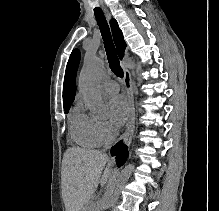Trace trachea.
<instances>
[{
    "mask_svg": "<svg viewBox=\"0 0 219 211\" xmlns=\"http://www.w3.org/2000/svg\"><path fill=\"white\" fill-rule=\"evenodd\" d=\"M94 13L102 35V39L104 41V46H105V51H106L109 66L116 76L123 78L124 73L119 63L115 45L113 43L111 32L107 20L105 18V15L102 9L99 7H95Z\"/></svg>",
    "mask_w": 219,
    "mask_h": 211,
    "instance_id": "obj_1",
    "label": "trachea"
}]
</instances>
